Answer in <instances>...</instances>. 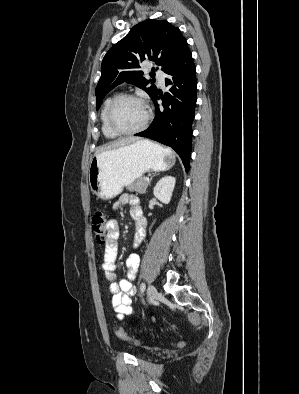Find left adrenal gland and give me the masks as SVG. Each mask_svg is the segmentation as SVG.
Returning <instances> with one entry per match:
<instances>
[{
  "instance_id": "obj_1",
  "label": "left adrenal gland",
  "mask_w": 299,
  "mask_h": 394,
  "mask_svg": "<svg viewBox=\"0 0 299 394\" xmlns=\"http://www.w3.org/2000/svg\"><path fill=\"white\" fill-rule=\"evenodd\" d=\"M154 176H156V174H154V175L150 178L149 184H150V182L152 181V179H153Z\"/></svg>"
}]
</instances>
